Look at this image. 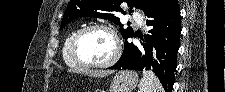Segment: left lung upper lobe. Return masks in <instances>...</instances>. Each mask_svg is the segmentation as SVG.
Here are the masks:
<instances>
[{
  "label": "left lung upper lobe",
  "instance_id": "obj_1",
  "mask_svg": "<svg viewBox=\"0 0 225 92\" xmlns=\"http://www.w3.org/2000/svg\"><path fill=\"white\" fill-rule=\"evenodd\" d=\"M161 1L162 0H70L63 16L60 30L75 18L96 17L109 19L120 25V32L122 37L126 40L127 38L132 37L134 32L131 27L124 29L123 25L120 24L119 18L114 17V12L120 11L121 13H124L120 8V5L123 2H126L131 8L134 6L146 13Z\"/></svg>",
  "mask_w": 225,
  "mask_h": 92
}]
</instances>
